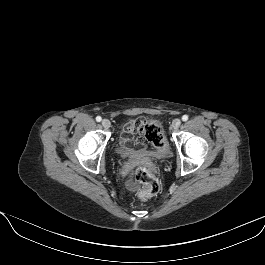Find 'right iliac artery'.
I'll use <instances>...</instances> for the list:
<instances>
[{
    "label": "right iliac artery",
    "instance_id": "82829eb1",
    "mask_svg": "<svg viewBox=\"0 0 265 265\" xmlns=\"http://www.w3.org/2000/svg\"><path fill=\"white\" fill-rule=\"evenodd\" d=\"M101 120H102V118H101L100 116H97V117H96V121H97V122H100Z\"/></svg>",
    "mask_w": 265,
    "mask_h": 265
}]
</instances>
